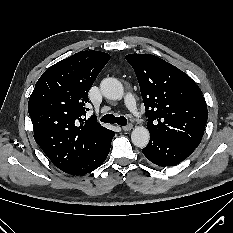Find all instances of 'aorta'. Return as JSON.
Wrapping results in <instances>:
<instances>
[{
  "label": "aorta",
  "mask_w": 233,
  "mask_h": 233,
  "mask_svg": "<svg viewBox=\"0 0 233 233\" xmlns=\"http://www.w3.org/2000/svg\"><path fill=\"white\" fill-rule=\"evenodd\" d=\"M100 90L104 97L111 100H120L124 95L123 85L116 78H105L101 81ZM149 131L146 127L137 126L131 133L132 143L139 148H144L149 142Z\"/></svg>",
  "instance_id": "762f6f07"
}]
</instances>
